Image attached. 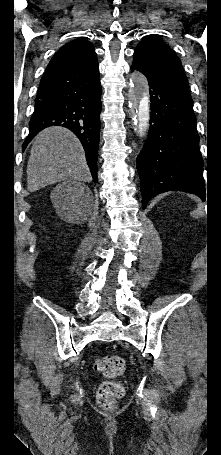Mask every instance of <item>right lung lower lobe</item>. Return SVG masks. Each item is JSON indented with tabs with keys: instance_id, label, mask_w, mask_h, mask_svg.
<instances>
[{
	"instance_id": "right-lung-lower-lobe-1",
	"label": "right lung lower lobe",
	"mask_w": 221,
	"mask_h": 455,
	"mask_svg": "<svg viewBox=\"0 0 221 455\" xmlns=\"http://www.w3.org/2000/svg\"><path fill=\"white\" fill-rule=\"evenodd\" d=\"M95 51L83 53L46 71L35 99L30 132L23 148L42 129L64 126L81 141L97 181L101 84Z\"/></svg>"
}]
</instances>
